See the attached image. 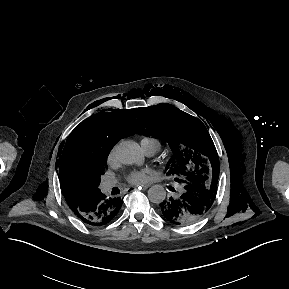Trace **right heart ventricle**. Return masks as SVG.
I'll use <instances>...</instances> for the list:
<instances>
[{
    "mask_svg": "<svg viewBox=\"0 0 289 289\" xmlns=\"http://www.w3.org/2000/svg\"><path fill=\"white\" fill-rule=\"evenodd\" d=\"M152 141H157L153 138H149V137H144L142 140H141V145L147 143V142H152Z\"/></svg>",
    "mask_w": 289,
    "mask_h": 289,
    "instance_id": "obj_1",
    "label": "right heart ventricle"
}]
</instances>
